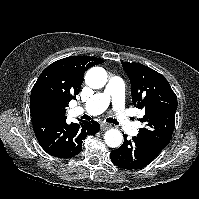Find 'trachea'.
I'll return each mask as SVG.
<instances>
[{
  "label": "trachea",
  "instance_id": "trachea-1",
  "mask_svg": "<svg viewBox=\"0 0 199 199\" xmlns=\"http://www.w3.org/2000/svg\"><path fill=\"white\" fill-rule=\"evenodd\" d=\"M107 121L110 123H113V124H118L117 120H115L113 118H108Z\"/></svg>",
  "mask_w": 199,
  "mask_h": 199
}]
</instances>
